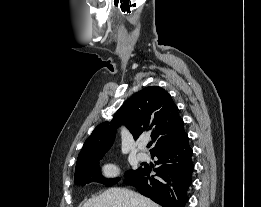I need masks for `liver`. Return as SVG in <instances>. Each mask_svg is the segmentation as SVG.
Here are the masks:
<instances>
[{"mask_svg": "<svg viewBox=\"0 0 261 207\" xmlns=\"http://www.w3.org/2000/svg\"><path fill=\"white\" fill-rule=\"evenodd\" d=\"M83 207H160L150 199L125 188H109L89 199Z\"/></svg>", "mask_w": 261, "mask_h": 207, "instance_id": "liver-1", "label": "liver"}]
</instances>
